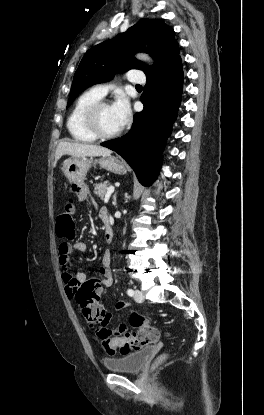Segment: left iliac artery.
I'll use <instances>...</instances> for the list:
<instances>
[{"label": "left iliac artery", "mask_w": 264, "mask_h": 415, "mask_svg": "<svg viewBox=\"0 0 264 415\" xmlns=\"http://www.w3.org/2000/svg\"><path fill=\"white\" fill-rule=\"evenodd\" d=\"M127 294L129 295V296H133L134 295V291L132 290V289H128L127 290Z\"/></svg>", "instance_id": "left-iliac-artery-1"}]
</instances>
